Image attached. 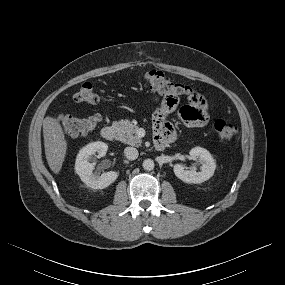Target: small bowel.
Segmentation results:
<instances>
[{"instance_id": "small-bowel-1", "label": "small bowel", "mask_w": 285, "mask_h": 285, "mask_svg": "<svg viewBox=\"0 0 285 285\" xmlns=\"http://www.w3.org/2000/svg\"><path fill=\"white\" fill-rule=\"evenodd\" d=\"M179 115L183 124L189 128H202L209 122V109L206 100L199 94L190 99L188 105L181 107V99L176 94H166L159 102L153 115L154 136L165 137L169 142L175 138V130L167 117Z\"/></svg>"}]
</instances>
